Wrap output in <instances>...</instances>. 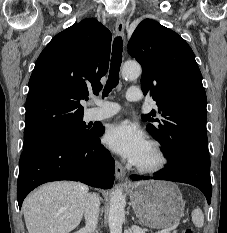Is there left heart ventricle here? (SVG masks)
<instances>
[{
    "instance_id": "1",
    "label": "left heart ventricle",
    "mask_w": 227,
    "mask_h": 233,
    "mask_svg": "<svg viewBox=\"0 0 227 233\" xmlns=\"http://www.w3.org/2000/svg\"><path fill=\"white\" fill-rule=\"evenodd\" d=\"M156 162V155L153 149L148 145L144 153L141 155L137 164L140 165H152Z\"/></svg>"
}]
</instances>
